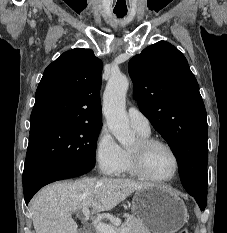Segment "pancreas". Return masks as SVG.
Returning <instances> with one entry per match:
<instances>
[{
    "label": "pancreas",
    "instance_id": "obj_1",
    "mask_svg": "<svg viewBox=\"0 0 227 233\" xmlns=\"http://www.w3.org/2000/svg\"><path fill=\"white\" fill-rule=\"evenodd\" d=\"M117 233L123 228H129L128 233H150L148 228L134 215H128L126 221L120 226L116 227L113 224L110 225Z\"/></svg>",
    "mask_w": 227,
    "mask_h": 233
}]
</instances>
